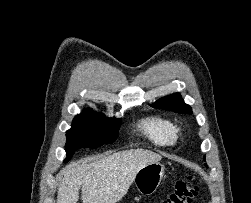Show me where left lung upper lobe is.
<instances>
[{
  "instance_id": "left-lung-upper-lobe-1",
  "label": "left lung upper lobe",
  "mask_w": 251,
  "mask_h": 203,
  "mask_svg": "<svg viewBox=\"0 0 251 203\" xmlns=\"http://www.w3.org/2000/svg\"><path fill=\"white\" fill-rule=\"evenodd\" d=\"M152 106L156 108L172 110L178 113H192L191 107L184 103L181 95L178 93L161 98ZM205 166H207V164H205Z\"/></svg>"
}]
</instances>
